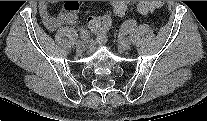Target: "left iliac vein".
<instances>
[{"label":"left iliac vein","instance_id":"1","mask_svg":"<svg viewBox=\"0 0 207 121\" xmlns=\"http://www.w3.org/2000/svg\"><path fill=\"white\" fill-rule=\"evenodd\" d=\"M130 46H131V42L128 39H122L119 42V47L122 50H128L130 48Z\"/></svg>","mask_w":207,"mask_h":121}]
</instances>
